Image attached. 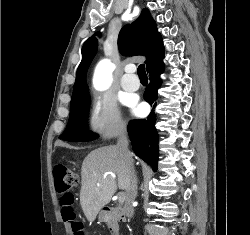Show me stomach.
Masks as SVG:
<instances>
[{"mask_svg":"<svg viewBox=\"0 0 250 235\" xmlns=\"http://www.w3.org/2000/svg\"><path fill=\"white\" fill-rule=\"evenodd\" d=\"M103 219H104V217H103V216H101V217H100V220H103Z\"/></svg>","mask_w":250,"mask_h":235,"instance_id":"stomach-1","label":"stomach"}]
</instances>
